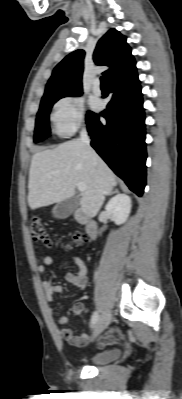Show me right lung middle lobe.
<instances>
[{
	"mask_svg": "<svg viewBox=\"0 0 182 399\" xmlns=\"http://www.w3.org/2000/svg\"><path fill=\"white\" fill-rule=\"evenodd\" d=\"M81 94H72V95H63L57 97H50L46 99H42L40 104V109L37 113L36 119V127H35V135H34V142L42 141L43 139L47 138L50 135V128H49V113L53 106V104L67 96H79ZM91 114L89 111L86 115V118Z\"/></svg>",
	"mask_w": 182,
	"mask_h": 399,
	"instance_id": "right-lung-middle-lobe-1",
	"label": "right lung middle lobe"
}]
</instances>
